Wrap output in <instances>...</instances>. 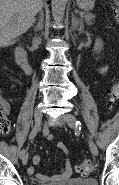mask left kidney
I'll list each match as a JSON object with an SVG mask.
<instances>
[{"label": "left kidney", "mask_w": 119, "mask_h": 185, "mask_svg": "<svg viewBox=\"0 0 119 185\" xmlns=\"http://www.w3.org/2000/svg\"><path fill=\"white\" fill-rule=\"evenodd\" d=\"M102 48H103V41L97 38L94 45V51L100 52Z\"/></svg>", "instance_id": "1"}]
</instances>
